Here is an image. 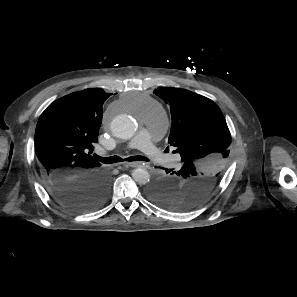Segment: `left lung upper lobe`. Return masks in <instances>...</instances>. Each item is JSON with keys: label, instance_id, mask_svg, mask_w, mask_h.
<instances>
[{"label": "left lung upper lobe", "instance_id": "left-lung-upper-lobe-1", "mask_svg": "<svg viewBox=\"0 0 297 297\" xmlns=\"http://www.w3.org/2000/svg\"><path fill=\"white\" fill-rule=\"evenodd\" d=\"M154 93L170 106L168 143L181 155L183 166L153 183L147 195L170 210H190L220 182L228 162L230 131L212 100L180 88H159Z\"/></svg>", "mask_w": 297, "mask_h": 297}]
</instances>
